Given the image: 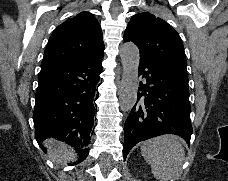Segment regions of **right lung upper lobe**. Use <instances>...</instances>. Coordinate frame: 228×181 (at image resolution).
I'll list each match as a JSON object with an SVG mask.
<instances>
[{
	"label": "right lung upper lobe",
	"mask_w": 228,
	"mask_h": 181,
	"mask_svg": "<svg viewBox=\"0 0 228 181\" xmlns=\"http://www.w3.org/2000/svg\"><path fill=\"white\" fill-rule=\"evenodd\" d=\"M103 51L98 21L91 13L81 12L55 29L45 49L41 69L101 55Z\"/></svg>",
	"instance_id": "right-lung-upper-lobe-1"
}]
</instances>
